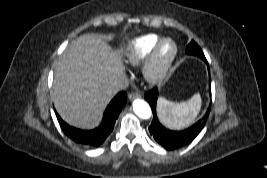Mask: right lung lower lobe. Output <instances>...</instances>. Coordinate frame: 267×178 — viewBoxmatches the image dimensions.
Wrapping results in <instances>:
<instances>
[{
  "label": "right lung lower lobe",
  "instance_id": "obj_1",
  "mask_svg": "<svg viewBox=\"0 0 267 178\" xmlns=\"http://www.w3.org/2000/svg\"><path fill=\"white\" fill-rule=\"evenodd\" d=\"M127 94L119 92L106 108L102 123L92 130H81L68 125L60 116L57 119L64 133L74 142L86 147H98L103 144L114 129L116 119L126 104Z\"/></svg>",
  "mask_w": 267,
  "mask_h": 178
}]
</instances>
